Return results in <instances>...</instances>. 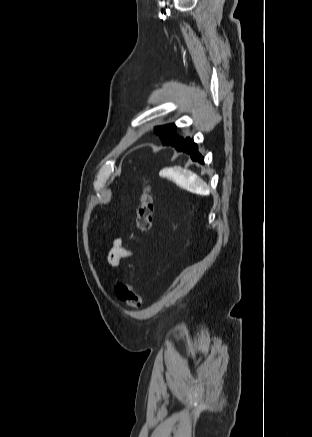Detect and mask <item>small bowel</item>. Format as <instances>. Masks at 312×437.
<instances>
[{
	"instance_id": "1",
	"label": "small bowel",
	"mask_w": 312,
	"mask_h": 437,
	"mask_svg": "<svg viewBox=\"0 0 312 437\" xmlns=\"http://www.w3.org/2000/svg\"><path fill=\"white\" fill-rule=\"evenodd\" d=\"M130 256L131 252L122 245L120 239H117L108 251L107 261L112 267H118L121 260Z\"/></svg>"
}]
</instances>
